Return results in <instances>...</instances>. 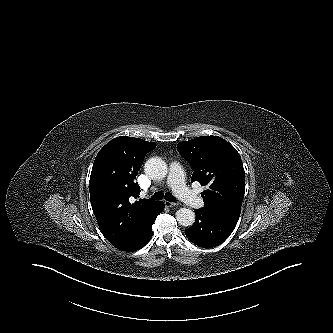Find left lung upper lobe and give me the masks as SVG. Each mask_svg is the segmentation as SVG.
I'll return each instance as SVG.
<instances>
[{
    "label": "left lung upper lobe",
    "mask_w": 333,
    "mask_h": 333,
    "mask_svg": "<svg viewBox=\"0 0 333 333\" xmlns=\"http://www.w3.org/2000/svg\"><path fill=\"white\" fill-rule=\"evenodd\" d=\"M179 153L193 169L191 181L206 187L204 208L237 223L245 192V172L237 150L218 136L180 142Z\"/></svg>",
    "instance_id": "1"
}]
</instances>
